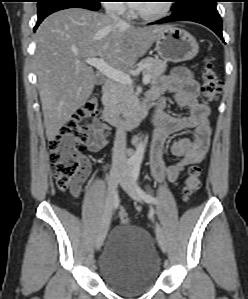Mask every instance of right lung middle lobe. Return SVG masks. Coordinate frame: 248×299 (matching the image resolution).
Returning a JSON list of instances; mask_svg holds the SVG:
<instances>
[{
  "mask_svg": "<svg viewBox=\"0 0 248 299\" xmlns=\"http://www.w3.org/2000/svg\"><path fill=\"white\" fill-rule=\"evenodd\" d=\"M53 1H55V0H38V8L44 6L48 3H51ZM79 1L86 2L91 5H99L100 4V0H79Z\"/></svg>",
  "mask_w": 248,
  "mask_h": 299,
  "instance_id": "right-lung-middle-lobe-1",
  "label": "right lung middle lobe"
}]
</instances>
